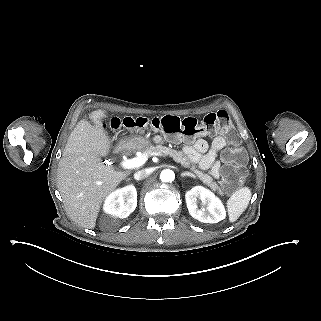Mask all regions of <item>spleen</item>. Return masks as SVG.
<instances>
[{
  "label": "spleen",
  "mask_w": 321,
  "mask_h": 321,
  "mask_svg": "<svg viewBox=\"0 0 321 321\" xmlns=\"http://www.w3.org/2000/svg\"><path fill=\"white\" fill-rule=\"evenodd\" d=\"M252 192L247 186L240 187L226 200V211L230 223L235 222L247 208Z\"/></svg>",
  "instance_id": "1"
}]
</instances>
